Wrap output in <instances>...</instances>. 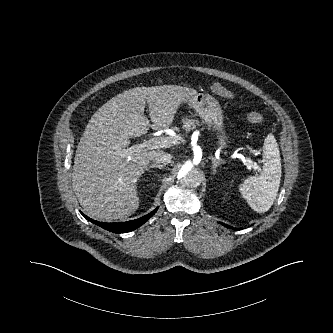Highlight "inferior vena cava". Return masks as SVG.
<instances>
[{
    "label": "inferior vena cava",
    "instance_id": "obj_1",
    "mask_svg": "<svg viewBox=\"0 0 333 333\" xmlns=\"http://www.w3.org/2000/svg\"><path fill=\"white\" fill-rule=\"evenodd\" d=\"M151 160L157 164H169L172 161V155L168 153H156Z\"/></svg>",
    "mask_w": 333,
    "mask_h": 333
}]
</instances>
